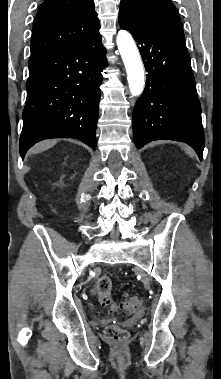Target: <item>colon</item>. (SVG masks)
<instances>
[{
	"mask_svg": "<svg viewBox=\"0 0 221 379\" xmlns=\"http://www.w3.org/2000/svg\"><path fill=\"white\" fill-rule=\"evenodd\" d=\"M111 289V277L103 275L97 283L98 301L102 306H111L114 311L123 316H128L137 310L142 303L143 299L140 295H127L121 301L114 302L110 296ZM105 337L113 342H121L128 338V333L121 327L111 324L105 329Z\"/></svg>",
	"mask_w": 221,
	"mask_h": 379,
	"instance_id": "1",
	"label": "colon"
}]
</instances>
